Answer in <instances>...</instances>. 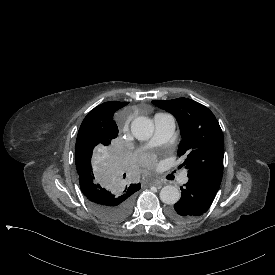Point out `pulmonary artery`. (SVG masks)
<instances>
[{
	"instance_id": "e3ab8cb5",
	"label": "pulmonary artery",
	"mask_w": 275,
	"mask_h": 275,
	"mask_svg": "<svg viewBox=\"0 0 275 275\" xmlns=\"http://www.w3.org/2000/svg\"><path fill=\"white\" fill-rule=\"evenodd\" d=\"M155 124V134L150 140V145H158L167 140L175 128V119L170 114H157L153 118ZM181 183L188 181L187 171L181 177Z\"/></svg>"
}]
</instances>
